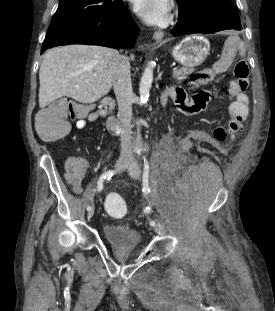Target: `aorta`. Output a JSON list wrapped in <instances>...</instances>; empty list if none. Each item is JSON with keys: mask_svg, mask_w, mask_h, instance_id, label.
<instances>
[{"mask_svg": "<svg viewBox=\"0 0 275 311\" xmlns=\"http://www.w3.org/2000/svg\"><path fill=\"white\" fill-rule=\"evenodd\" d=\"M152 81H153V64L152 62H149L143 72L139 85L140 99L142 102H146L148 100Z\"/></svg>", "mask_w": 275, "mask_h": 311, "instance_id": "aorta-1", "label": "aorta"}]
</instances>
